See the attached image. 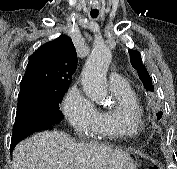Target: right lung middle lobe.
<instances>
[{
    "instance_id": "right-lung-middle-lobe-1",
    "label": "right lung middle lobe",
    "mask_w": 177,
    "mask_h": 169,
    "mask_svg": "<svg viewBox=\"0 0 177 169\" xmlns=\"http://www.w3.org/2000/svg\"><path fill=\"white\" fill-rule=\"evenodd\" d=\"M66 91L57 95L40 98L35 96H25L18 98L17 113L15 121L25 118H35L57 124L63 118L59 110V104Z\"/></svg>"
}]
</instances>
